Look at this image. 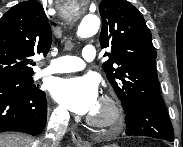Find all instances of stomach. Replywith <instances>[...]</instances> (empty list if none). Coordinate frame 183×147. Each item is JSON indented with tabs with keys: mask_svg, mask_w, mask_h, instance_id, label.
<instances>
[{
	"mask_svg": "<svg viewBox=\"0 0 183 147\" xmlns=\"http://www.w3.org/2000/svg\"><path fill=\"white\" fill-rule=\"evenodd\" d=\"M102 147H118L116 144H109V145H104Z\"/></svg>",
	"mask_w": 183,
	"mask_h": 147,
	"instance_id": "1",
	"label": "stomach"
}]
</instances>
